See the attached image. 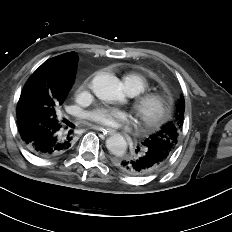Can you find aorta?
<instances>
[{
    "label": "aorta",
    "instance_id": "1",
    "mask_svg": "<svg viewBox=\"0 0 232 232\" xmlns=\"http://www.w3.org/2000/svg\"><path fill=\"white\" fill-rule=\"evenodd\" d=\"M95 95L104 101L122 100L124 94L119 79L110 73H100L92 80ZM107 149L114 155L120 156L126 152L127 143L123 136L114 134L106 140Z\"/></svg>",
    "mask_w": 232,
    "mask_h": 232
}]
</instances>
